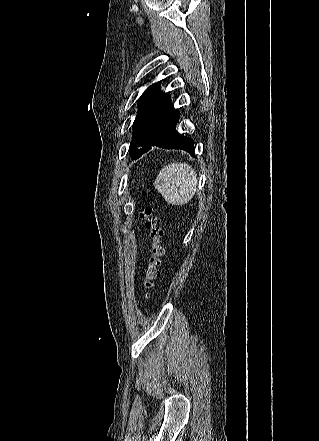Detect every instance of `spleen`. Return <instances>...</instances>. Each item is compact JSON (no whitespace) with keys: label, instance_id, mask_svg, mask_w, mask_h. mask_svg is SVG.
<instances>
[{"label":"spleen","instance_id":"obj_1","mask_svg":"<svg viewBox=\"0 0 319 441\" xmlns=\"http://www.w3.org/2000/svg\"><path fill=\"white\" fill-rule=\"evenodd\" d=\"M198 177L196 171L187 163H171L161 169L155 186L158 192L171 205L188 203L196 194Z\"/></svg>","mask_w":319,"mask_h":441}]
</instances>
